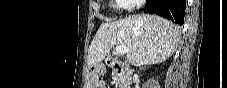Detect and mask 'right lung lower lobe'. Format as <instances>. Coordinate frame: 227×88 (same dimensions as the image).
<instances>
[{
	"instance_id": "1",
	"label": "right lung lower lobe",
	"mask_w": 227,
	"mask_h": 88,
	"mask_svg": "<svg viewBox=\"0 0 227 88\" xmlns=\"http://www.w3.org/2000/svg\"><path fill=\"white\" fill-rule=\"evenodd\" d=\"M185 7L186 0H147L146 2L148 13L160 15L180 25L184 21Z\"/></svg>"
}]
</instances>
